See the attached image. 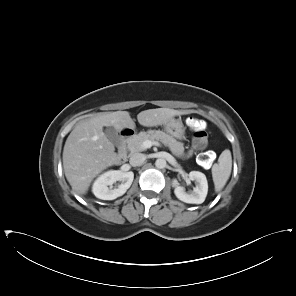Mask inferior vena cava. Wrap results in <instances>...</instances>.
Wrapping results in <instances>:
<instances>
[{
    "label": "inferior vena cava",
    "mask_w": 296,
    "mask_h": 296,
    "mask_svg": "<svg viewBox=\"0 0 296 296\" xmlns=\"http://www.w3.org/2000/svg\"><path fill=\"white\" fill-rule=\"evenodd\" d=\"M146 160V156L142 153H134L133 155H131L130 157V164L132 166H140L142 165Z\"/></svg>",
    "instance_id": "inferior-vena-cava-1"
}]
</instances>
